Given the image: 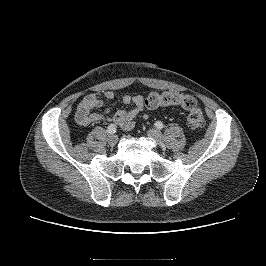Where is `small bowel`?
Here are the masks:
<instances>
[{"label": "small bowel", "instance_id": "small-bowel-1", "mask_svg": "<svg viewBox=\"0 0 266 266\" xmlns=\"http://www.w3.org/2000/svg\"><path fill=\"white\" fill-rule=\"evenodd\" d=\"M103 98L112 100L115 98V93L110 90L104 93L93 92L82 99L75 113V120L78 125L86 127L92 123L113 122L124 130H131L135 126L137 116H141L143 119L148 118L141 95H124L122 102L130 106V109L118 110L112 116L109 115L108 110L104 112L94 111L103 106Z\"/></svg>", "mask_w": 266, "mask_h": 266}]
</instances>
